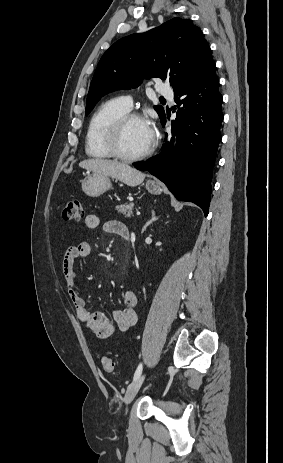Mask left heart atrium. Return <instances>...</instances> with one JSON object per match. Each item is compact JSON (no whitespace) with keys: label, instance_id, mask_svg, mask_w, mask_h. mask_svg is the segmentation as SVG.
<instances>
[{"label":"left heart atrium","instance_id":"left-heart-atrium-1","mask_svg":"<svg viewBox=\"0 0 283 463\" xmlns=\"http://www.w3.org/2000/svg\"><path fill=\"white\" fill-rule=\"evenodd\" d=\"M150 130H151V135H152V139L154 138L155 136V129L152 125H150Z\"/></svg>","mask_w":283,"mask_h":463}]
</instances>
